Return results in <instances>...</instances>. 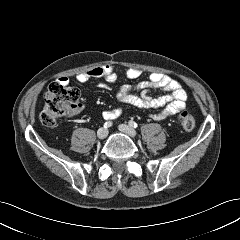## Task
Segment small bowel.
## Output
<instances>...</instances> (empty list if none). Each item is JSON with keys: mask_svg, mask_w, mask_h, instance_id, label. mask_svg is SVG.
Wrapping results in <instances>:
<instances>
[{"mask_svg": "<svg viewBox=\"0 0 240 240\" xmlns=\"http://www.w3.org/2000/svg\"><path fill=\"white\" fill-rule=\"evenodd\" d=\"M123 73L129 79H136L140 76V71L134 68L126 69ZM118 76L119 73L114 67L101 65L76 75L75 80L79 83H86L91 79H98L100 87L108 88L109 85L117 82ZM56 82L67 85L70 78L62 76ZM153 89L162 90L165 94L152 96L150 91ZM117 97L123 104L157 110L152 117L156 120H165L185 108L187 93L177 80L166 74L155 72L145 82L136 85H122L117 90ZM120 114V109H114L105 111L103 116L106 119H116Z\"/></svg>", "mask_w": 240, "mask_h": 240, "instance_id": "1", "label": "small bowel"}]
</instances>
